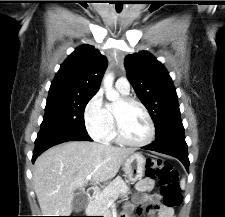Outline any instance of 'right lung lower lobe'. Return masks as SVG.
Returning a JSON list of instances; mask_svg holds the SVG:
<instances>
[{
	"label": "right lung lower lobe",
	"mask_w": 225,
	"mask_h": 217,
	"mask_svg": "<svg viewBox=\"0 0 225 217\" xmlns=\"http://www.w3.org/2000/svg\"><path fill=\"white\" fill-rule=\"evenodd\" d=\"M92 141L85 133L65 131L54 128L41 129L35 141L32 162L48 148L67 141Z\"/></svg>",
	"instance_id": "1"
}]
</instances>
